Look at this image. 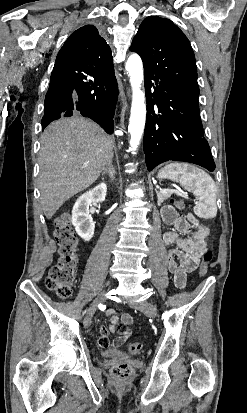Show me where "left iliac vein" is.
I'll return each mask as SVG.
<instances>
[{
    "instance_id": "1",
    "label": "left iliac vein",
    "mask_w": 247,
    "mask_h": 413,
    "mask_svg": "<svg viewBox=\"0 0 247 413\" xmlns=\"http://www.w3.org/2000/svg\"><path fill=\"white\" fill-rule=\"evenodd\" d=\"M132 308H136L148 316L155 318L157 316L156 306L147 301L133 302L130 304Z\"/></svg>"
}]
</instances>
